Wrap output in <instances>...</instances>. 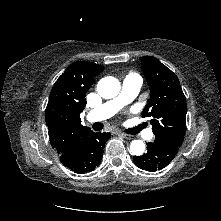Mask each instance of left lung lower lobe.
Listing matches in <instances>:
<instances>
[{"instance_id":"0a47b994","label":"left lung lower lobe","mask_w":221,"mask_h":221,"mask_svg":"<svg viewBox=\"0 0 221 221\" xmlns=\"http://www.w3.org/2000/svg\"><path fill=\"white\" fill-rule=\"evenodd\" d=\"M179 147L158 141L148 143L147 153L134 156L135 165L143 170L154 172L166 167L178 153Z\"/></svg>"}]
</instances>
